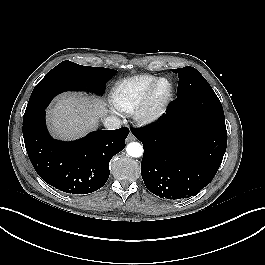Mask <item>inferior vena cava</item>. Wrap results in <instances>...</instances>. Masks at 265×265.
<instances>
[{"label":"inferior vena cava","mask_w":265,"mask_h":265,"mask_svg":"<svg viewBox=\"0 0 265 265\" xmlns=\"http://www.w3.org/2000/svg\"><path fill=\"white\" fill-rule=\"evenodd\" d=\"M103 124H104L105 128L110 129V130L118 129L122 125L119 118H117L115 116L106 117L104 119Z\"/></svg>","instance_id":"obj_1"}]
</instances>
